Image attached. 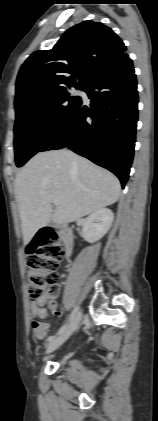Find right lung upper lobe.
Wrapping results in <instances>:
<instances>
[{
    "label": "right lung upper lobe",
    "instance_id": "1",
    "mask_svg": "<svg viewBox=\"0 0 158 421\" xmlns=\"http://www.w3.org/2000/svg\"><path fill=\"white\" fill-rule=\"evenodd\" d=\"M125 52L126 46L111 28L83 21L68 29L51 50L36 51L24 62L16 81L15 104L40 93L84 87Z\"/></svg>",
    "mask_w": 158,
    "mask_h": 421
}]
</instances>
